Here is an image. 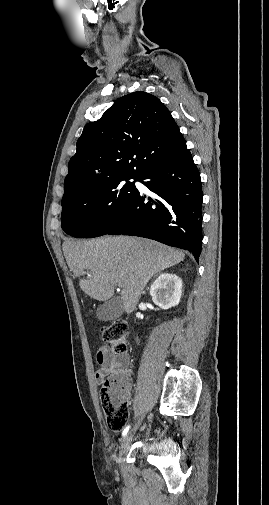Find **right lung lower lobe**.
I'll list each match as a JSON object with an SVG mask.
<instances>
[{
    "mask_svg": "<svg viewBox=\"0 0 269 505\" xmlns=\"http://www.w3.org/2000/svg\"><path fill=\"white\" fill-rule=\"evenodd\" d=\"M138 180L156 195L147 198L138 192L107 234L154 239L190 251L198 262L202 249V183L186 144L154 162Z\"/></svg>",
    "mask_w": 269,
    "mask_h": 505,
    "instance_id": "obj_1",
    "label": "right lung lower lobe"
}]
</instances>
